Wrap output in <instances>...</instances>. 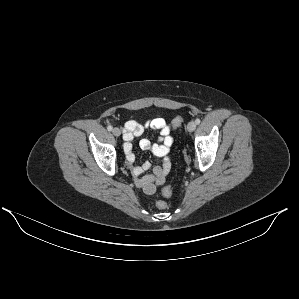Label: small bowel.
<instances>
[{
	"instance_id": "obj_1",
	"label": "small bowel",
	"mask_w": 299,
	"mask_h": 299,
	"mask_svg": "<svg viewBox=\"0 0 299 299\" xmlns=\"http://www.w3.org/2000/svg\"><path fill=\"white\" fill-rule=\"evenodd\" d=\"M159 132L158 143L152 144L148 139L143 138L139 141L141 149L150 151L160 159V165L153 168L152 173L142 175L150 169V163L144 162L141 166H136L135 155L132 142L134 138L141 136L147 129ZM172 127L163 118H153L144 123L129 121L124 128V152L127 165L131 170L137 186L141 187L146 194H153L158 186L165 183L171 169V158L169 152L173 146L174 139L171 135Z\"/></svg>"
}]
</instances>
